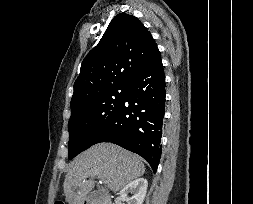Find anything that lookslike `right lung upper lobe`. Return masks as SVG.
Masks as SVG:
<instances>
[{
    "label": "right lung upper lobe",
    "mask_w": 253,
    "mask_h": 204,
    "mask_svg": "<svg viewBox=\"0 0 253 204\" xmlns=\"http://www.w3.org/2000/svg\"><path fill=\"white\" fill-rule=\"evenodd\" d=\"M157 50L150 32L135 16L119 13L83 60L71 107L109 89L127 86Z\"/></svg>",
    "instance_id": "1"
}]
</instances>
